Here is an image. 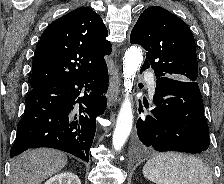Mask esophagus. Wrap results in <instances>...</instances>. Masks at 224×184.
<instances>
[{
  "label": "esophagus",
  "mask_w": 224,
  "mask_h": 184,
  "mask_svg": "<svg viewBox=\"0 0 224 184\" xmlns=\"http://www.w3.org/2000/svg\"><path fill=\"white\" fill-rule=\"evenodd\" d=\"M119 93H120V76L118 74V69L115 68L114 74L111 81V88L108 96V106L111 107L119 103Z\"/></svg>",
  "instance_id": "obj_1"
}]
</instances>
